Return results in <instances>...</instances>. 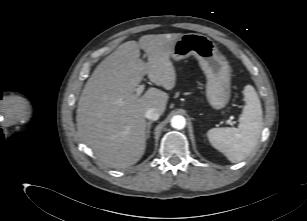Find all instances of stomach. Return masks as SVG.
<instances>
[{"instance_id": "0dacf381", "label": "stomach", "mask_w": 307, "mask_h": 221, "mask_svg": "<svg viewBox=\"0 0 307 221\" xmlns=\"http://www.w3.org/2000/svg\"><path fill=\"white\" fill-rule=\"evenodd\" d=\"M194 55L206 78V98L212 108H224L231 95V68L214 42L197 33L182 34L171 48V58L182 60Z\"/></svg>"}]
</instances>
